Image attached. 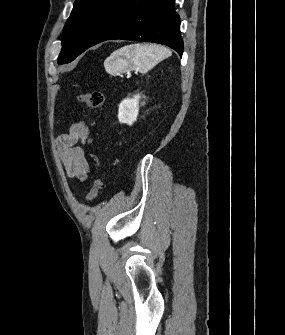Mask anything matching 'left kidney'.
I'll return each instance as SVG.
<instances>
[{"mask_svg":"<svg viewBox=\"0 0 285 335\" xmlns=\"http://www.w3.org/2000/svg\"><path fill=\"white\" fill-rule=\"evenodd\" d=\"M140 98V94H136L133 98H125V100H122L118 110V120L120 124L132 126V124L136 122Z\"/></svg>","mask_w":285,"mask_h":335,"instance_id":"obj_1","label":"left kidney"}]
</instances>
